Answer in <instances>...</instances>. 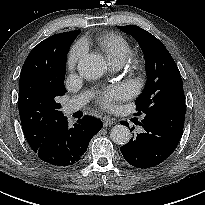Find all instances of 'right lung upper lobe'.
<instances>
[{
  "label": "right lung upper lobe",
  "instance_id": "cb5924a9",
  "mask_svg": "<svg viewBox=\"0 0 205 205\" xmlns=\"http://www.w3.org/2000/svg\"><path fill=\"white\" fill-rule=\"evenodd\" d=\"M80 30L53 35L35 46L20 74L18 108L33 151L64 119L57 97L64 95L66 55Z\"/></svg>",
  "mask_w": 205,
  "mask_h": 205
}]
</instances>
